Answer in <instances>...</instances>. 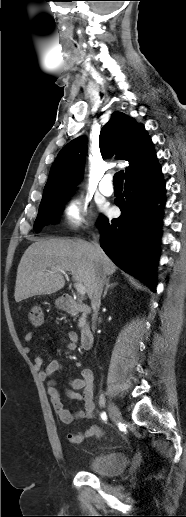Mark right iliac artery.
Returning a JSON list of instances; mask_svg holds the SVG:
<instances>
[{
  "mask_svg": "<svg viewBox=\"0 0 186 517\" xmlns=\"http://www.w3.org/2000/svg\"><path fill=\"white\" fill-rule=\"evenodd\" d=\"M101 418H102L103 421H107V415H106L105 412L101 413Z\"/></svg>",
  "mask_w": 186,
  "mask_h": 517,
  "instance_id": "82829eb1",
  "label": "right iliac artery"
}]
</instances>
